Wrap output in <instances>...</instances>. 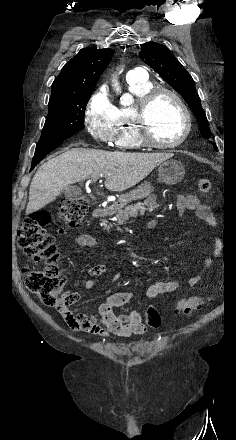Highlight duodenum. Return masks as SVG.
Listing matches in <instances>:
<instances>
[{
  "instance_id": "obj_1",
  "label": "duodenum",
  "mask_w": 236,
  "mask_h": 440,
  "mask_svg": "<svg viewBox=\"0 0 236 440\" xmlns=\"http://www.w3.org/2000/svg\"><path fill=\"white\" fill-rule=\"evenodd\" d=\"M110 211V208L107 206H98L93 211V217L96 219L102 218L106 216Z\"/></svg>"
}]
</instances>
